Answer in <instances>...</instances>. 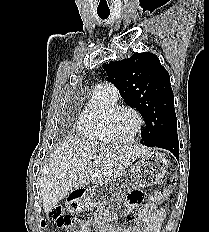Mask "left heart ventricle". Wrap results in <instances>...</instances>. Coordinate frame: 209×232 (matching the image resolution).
<instances>
[{
	"label": "left heart ventricle",
	"instance_id": "1",
	"mask_svg": "<svg viewBox=\"0 0 209 232\" xmlns=\"http://www.w3.org/2000/svg\"><path fill=\"white\" fill-rule=\"evenodd\" d=\"M137 126L135 116L129 111L118 113L112 120L111 130L117 138H127L133 134Z\"/></svg>",
	"mask_w": 209,
	"mask_h": 232
}]
</instances>
